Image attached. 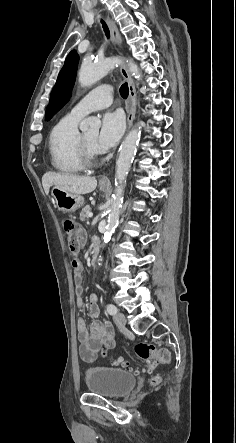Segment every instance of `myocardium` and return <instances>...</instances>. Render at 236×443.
<instances>
[{"instance_id":"myocardium-1","label":"myocardium","mask_w":236,"mask_h":443,"mask_svg":"<svg viewBox=\"0 0 236 443\" xmlns=\"http://www.w3.org/2000/svg\"><path fill=\"white\" fill-rule=\"evenodd\" d=\"M79 152L84 166H91L95 163L97 151L93 149L85 140L83 134L79 135Z\"/></svg>"}]
</instances>
